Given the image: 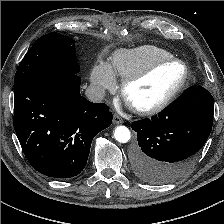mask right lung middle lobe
I'll return each mask as SVG.
<instances>
[{
	"mask_svg": "<svg viewBox=\"0 0 224 224\" xmlns=\"http://www.w3.org/2000/svg\"><path fill=\"white\" fill-rule=\"evenodd\" d=\"M75 41L59 33L40 37L21 61L14 78V91L26 81L50 73L77 74Z\"/></svg>",
	"mask_w": 224,
	"mask_h": 224,
	"instance_id": "right-lung-middle-lobe-1",
	"label": "right lung middle lobe"
}]
</instances>
